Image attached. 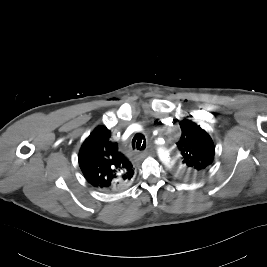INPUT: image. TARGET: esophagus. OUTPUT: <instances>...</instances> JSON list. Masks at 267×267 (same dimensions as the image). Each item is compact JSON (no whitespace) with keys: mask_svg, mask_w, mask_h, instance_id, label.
<instances>
[{"mask_svg":"<svg viewBox=\"0 0 267 267\" xmlns=\"http://www.w3.org/2000/svg\"><path fill=\"white\" fill-rule=\"evenodd\" d=\"M147 156V152H142V153H140V157L141 158H144V157H146Z\"/></svg>","mask_w":267,"mask_h":267,"instance_id":"obj_1","label":"esophagus"}]
</instances>
